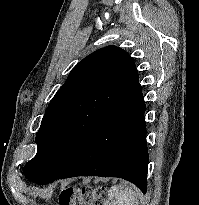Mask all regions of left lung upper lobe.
<instances>
[{"mask_svg":"<svg viewBox=\"0 0 199 205\" xmlns=\"http://www.w3.org/2000/svg\"><path fill=\"white\" fill-rule=\"evenodd\" d=\"M138 78L129 54L116 46L81 60L50 101L36 134V156L23 173L43 184L75 160L100 121L130 92Z\"/></svg>","mask_w":199,"mask_h":205,"instance_id":"5c2ea615","label":"left lung upper lobe"}]
</instances>
